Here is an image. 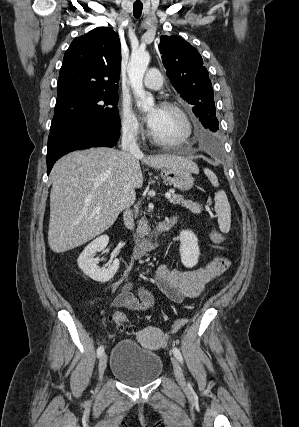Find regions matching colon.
Returning a JSON list of instances; mask_svg holds the SVG:
<instances>
[{
  "mask_svg": "<svg viewBox=\"0 0 299 427\" xmlns=\"http://www.w3.org/2000/svg\"><path fill=\"white\" fill-rule=\"evenodd\" d=\"M112 320H113V323L116 325V327L119 331L126 332L128 334L134 333L133 327L128 325V320L123 313L116 312L113 315Z\"/></svg>",
  "mask_w": 299,
  "mask_h": 427,
  "instance_id": "colon-1",
  "label": "colon"
}]
</instances>
